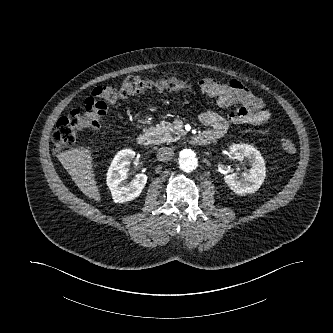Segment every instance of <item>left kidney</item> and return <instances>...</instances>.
Instances as JSON below:
<instances>
[{
	"instance_id": "left-kidney-1",
	"label": "left kidney",
	"mask_w": 333,
	"mask_h": 333,
	"mask_svg": "<svg viewBox=\"0 0 333 333\" xmlns=\"http://www.w3.org/2000/svg\"><path fill=\"white\" fill-rule=\"evenodd\" d=\"M230 151L238 160L247 159L251 163V168L244 173V178L239 179L236 173L227 174L225 182L236 194L245 195L257 191L265 179V163L260 152L248 144H234Z\"/></svg>"
}]
</instances>
